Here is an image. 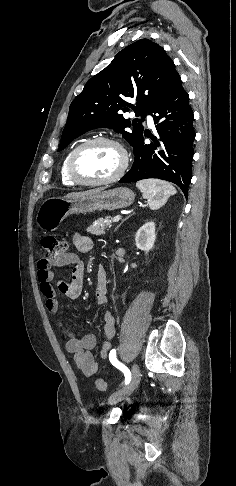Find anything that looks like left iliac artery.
I'll use <instances>...</instances> for the list:
<instances>
[{"label": "left iliac artery", "instance_id": "1", "mask_svg": "<svg viewBox=\"0 0 236 486\" xmlns=\"http://www.w3.org/2000/svg\"><path fill=\"white\" fill-rule=\"evenodd\" d=\"M109 360L116 368L120 369L124 373L125 384H128L131 380V372L124 364L117 360L115 349L111 350L109 354Z\"/></svg>", "mask_w": 236, "mask_h": 486}]
</instances>
